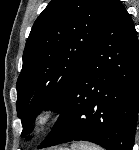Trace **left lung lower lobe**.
<instances>
[{"label": "left lung lower lobe", "mask_w": 139, "mask_h": 150, "mask_svg": "<svg viewBox=\"0 0 139 150\" xmlns=\"http://www.w3.org/2000/svg\"><path fill=\"white\" fill-rule=\"evenodd\" d=\"M45 148L85 140L107 150H132L139 114V42L120 0L73 82Z\"/></svg>", "instance_id": "0a47b994"}]
</instances>
